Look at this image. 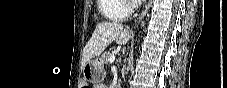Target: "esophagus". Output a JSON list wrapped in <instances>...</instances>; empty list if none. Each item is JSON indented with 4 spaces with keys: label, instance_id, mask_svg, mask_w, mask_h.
<instances>
[{
    "label": "esophagus",
    "instance_id": "esophagus-1",
    "mask_svg": "<svg viewBox=\"0 0 227 88\" xmlns=\"http://www.w3.org/2000/svg\"><path fill=\"white\" fill-rule=\"evenodd\" d=\"M151 4H152V0H149L148 3L145 5L144 10H143V11L141 12V14L139 15V17H138L139 20H142V19L145 17V15H146V13L148 12V10H149Z\"/></svg>",
    "mask_w": 227,
    "mask_h": 88
}]
</instances>
